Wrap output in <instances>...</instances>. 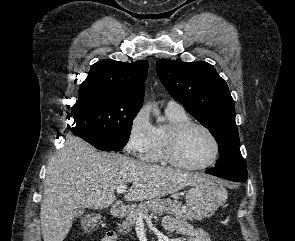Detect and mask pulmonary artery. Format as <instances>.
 Returning a JSON list of instances; mask_svg holds the SVG:
<instances>
[{
  "instance_id": "e3ab8cb5",
  "label": "pulmonary artery",
  "mask_w": 295,
  "mask_h": 241,
  "mask_svg": "<svg viewBox=\"0 0 295 241\" xmlns=\"http://www.w3.org/2000/svg\"><path fill=\"white\" fill-rule=\"evenodd\" d=\"M167 108L183 109L182 105L173 99H171L167 102Z\"/></svg>"
}]
</instances>
